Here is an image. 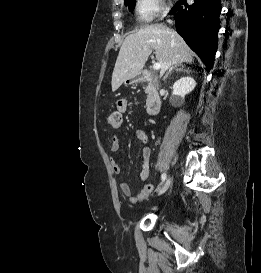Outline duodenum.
<instances>
[{"label": "duodenum", "instance_id": "410a0bca", "mask_svg": "<svg viewBox=\"0 0 261 273\" xmlns=\"http://www.w3.org/2000/svg\"><path fill=\"white\" fill-rule=\"evenodd\" d=\"M156 78L155 76L150 72H143L141 74V77L139 81L141 82H155ZM161 107V98L157 94H152L149 97L148 104H147V110L150 115H155L158 113Z\"/></svg>", "mask_w": 261, "mask_h": 273}]
</instances>
